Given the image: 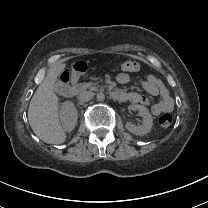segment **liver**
Masks as SVG:
<instances>
[{"mask_svg":"<svg viewBox=\"0 0 208 208\" xmlns=\"http://www.w3.org/2000/svg\"><path fill=\"white\" fill-rule=\"evenodd\" d=\"M65 67V64H59L49 69L28 108V120L33 132L48 144H61L66 139L58 119V97L54 93L55 82Z\"/></svg>","mask_w":208,"mask_h":208,"instance_id":"liver-1","label":"liver"}]
</instances>
